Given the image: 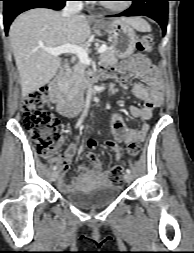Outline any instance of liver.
I'll return each instance as SVG.
<instances>
[{
  "instance_id": "obj_1",
  "label": "liver",
  "mask_w": 194,
  "mask_h": 253,
  "mask_svg": "<svg viewBox=\"0 0 194 253\" xmlns=\"http://www.w3.org/2000/svg\"><path fill=\"white\" fill-rule=\"evenodd\" d=\"M138 31L150 30L140 17L121 18ZM90 25L83 15L67 18L46 8L31 9L11 24L9 37L20 75L22 96L46 85L57 74L61 59L43 50L65 44L78 45L90 37Z\"/></svg>"
}]
</instances>
